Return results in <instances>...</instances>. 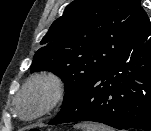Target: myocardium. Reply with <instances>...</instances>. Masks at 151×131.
<instances>
[{
    "mask_svg": "<svg viewBox=\"0 0 151 131\" xmlns=\"http://www.w3.org/2000/svg\"><path fill=\"white\" fill-rule=\"evenodd\" d=\"M46 90L44 103L33 113L25 115L21 111L23 98L33 89ZM66 94L65 82L61 76L54 72H41L31 76L23 85L15 97L14 106L16 112L25 119H35L44 116L54 110L64 99Z\"/></svg>",
    "mask_w": 151,
    "mask_h": 131,
    "instance_id": "1",
    "label": "myocardium"
}]
</instances>
